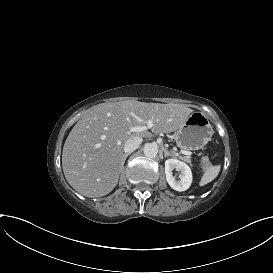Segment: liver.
<instances>
[{
	"mask_svg": "<svg viewBox=\"0 0 273 273\" xmlns=\"http://www.w3.org/2000/svg\"><path fill=\"white\" fill-rule=\"evenodd\" d=\"M192 112L183 104L126 100L98 104L86 111L69 133L63 147L62 166L68 183L87 197L104 196L116 186L123 167V147L133 137L132 126L153 120L152 132L168 133L182 126Z\"/></svg>",
	"mask_w": 273,
	"mask_h": 273,
	"instance_id": "liver-1",
	"label": "liver"
}]
</instances>
